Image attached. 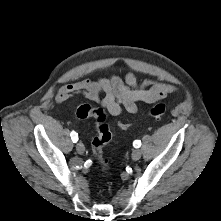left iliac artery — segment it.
I'll use <instances>...</instances> for the list:
<instances>
[{"label":"left iliac artery","instance_id":"44dca946","mask_svg":"<svg viewBox=\"0 0 221 221\" xmlns=\"http://www.w3.org/2000/svg\"><path fill=\"white\" fill-rule=\"evenodd\" d=\"M133 146H134L135 148H139V147L141 146V141H140V140L134 141Z\"/></svg>","mask_w":221,"mask_h":221}]
</instances>
